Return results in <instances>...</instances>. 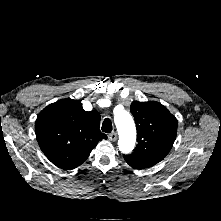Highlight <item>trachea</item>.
<instances>
[{
    "label": "trachea",
    "instance_id": "obj_1",
    "mask_svg": "<svg viewBox=\"0 0 221 221\" xmlns=\"http://www.w3.org/2000/svg\"><path fill=\"white\" fill-rule=\"evenodd\" d=\"M112 122L109 118L104 119L102 124V131L105 133H110L112 131Z\"/></svg>",
    "mask_w": 221,
    "mask_h": 221
}]
</instances>
